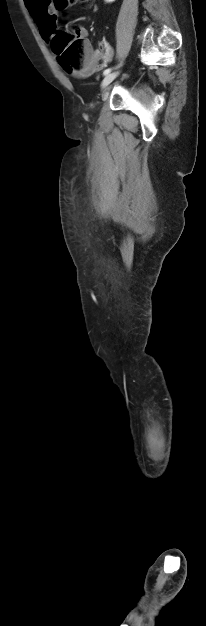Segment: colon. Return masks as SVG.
Wrapping results in <instances>:
<instances>
[{"label": "colon", "mask_w": 206, "mask_h": 626, "mask_svg": "<svg viewBox=\"0 0 206 626\" xmlns=\"http://www.w3.org/2000/svg\"><path fill=\"white\" fill-rule=\"evenodd\" d=\"M92 0H52L51 3L56 10H65L74 4L89 5ZM55 51L60 53L64 60L74 66L80 67L84 56V45L78 39L77 29L71 27L69 30L60 31L55 36Z\"/></svg>", "instance_id": "colon-1"}]
</instances>
